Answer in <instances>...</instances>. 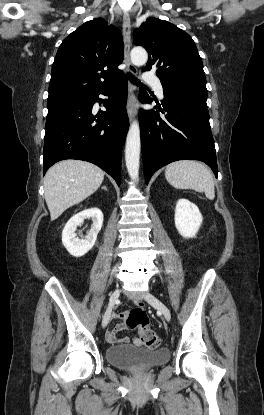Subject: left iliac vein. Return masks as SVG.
<instances>
[{
  "label": "left iliac vein",
  "instance_id": "1",
  "mask_svg": "<svg viewBox=\"0 0 264 415\" xmlns=\"http://www.w3.org/2000/svg\"><path fill=\"white\" fill-rule=\"evenodd\" d=\"M145 300L149 303V304H151V305H153V306H155V307H157L161 312H162V314H163V316H164V318L167 320V321H170L171 320V313H170V310L168 309V307L161 301V300H159L157 297H155L153 294H151V293H147L146 295H145Z\"/></svg>",
  "mask_w": 264,
  "mask_h": 415
}]
</instances>
